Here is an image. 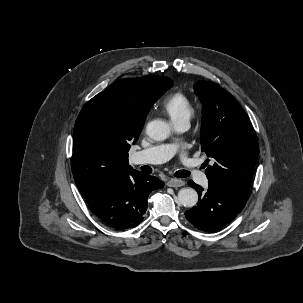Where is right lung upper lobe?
I'll return each instance as SVG.
<instances>
[{"label": "right lung upper lobe", "mask_w": 303, "mask_h": 303, "mask_svg": "<svg viewBox=\"0 0 303 303\" xmlns=\"http://www.w3.org/2000/svg\"><path fill=\"white\" fill-rule=\"evenodd\" d=\"M172 85L164 76L121 79L84 105L74 126L73 167L83 177L79 191L85 200L131 172L130 143L138 140L150 107Z\"/></svg>", "instance_id": "1"}]
</instances>
